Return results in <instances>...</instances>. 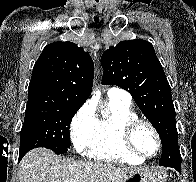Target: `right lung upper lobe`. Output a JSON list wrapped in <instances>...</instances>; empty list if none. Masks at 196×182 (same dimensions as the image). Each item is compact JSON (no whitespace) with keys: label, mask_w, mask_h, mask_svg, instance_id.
Listing matches in <instances>:
<instances>
[{"label":"right lung upper lobe","mask_w":196,"mask_h":182,"mask_svg":"<svg viewBox=\"0 0 196 182\" xmlns=\"http://www.w3.org/2000/svg\"><path fill=\"white\" fill-rule=\"evenodd\" d=\"M94 63L72 42L47 45L34 65L26 109L48 106L80 108L92 91Z\"/></svg>","instance_id":"cb5924a9"}]
</instances>
